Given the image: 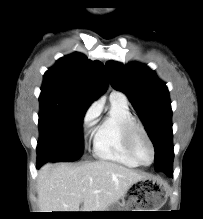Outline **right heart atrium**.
<instances>
[{
    "mask_svg": "<svg viewBox=\"0 0 203 219\" xmlns=\"http://www.w3.org/2000/svg\"><path fill=\"white\" fill-rule=\"evenodd\" d=\"M99 115H100V107L96 103L92 104L86 111L82 123L85 137H88L93 132Z\"/></svg>",
    "mask_w": 203,
    "mask_h": 219,
    "instance_id": "d8ad5b80",
    "label": "right heart atrium"
}]
</instances>
